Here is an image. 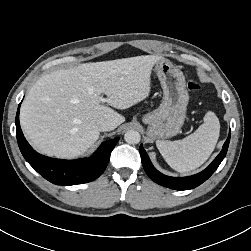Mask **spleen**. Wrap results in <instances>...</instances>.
Masks as SVG:
<instances>
[{
    "instance_id": "3e777b00",
    "label": "spleen",
    "mask_w": 251,
    "mask_h": 251,
    "mask_svg": "<svg viewBox=\"0 0 251 251\" xmlns=\"http://www.w3.org/2000/svg\"><path fill=\"white\" fill-rule=\"evenodd\" d=\"M220 123L214 112L208 111L204 123L182 140H157L156 146L168 165L180 172L192 171L206 162L219 138Z\"/></svg>"
}]
</instances>
